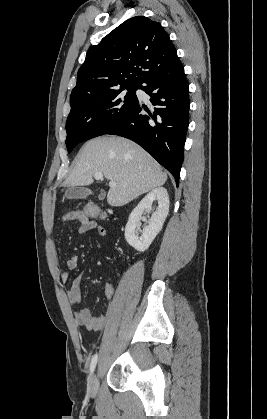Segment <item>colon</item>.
Returning <instances> with one entry per match:
<instances>
[{"label":"colon","mask_w":267,"mask_h":419,"mask_svg":"<svg viewBox=\"0 0 267 419\" xmlns=\"http://www.w3.org/2000/svg\"><path fill=\"white\" fill-rule=\"evenodd\" d=\"M80 212L88 219H103L106 217L105 211L94 203L86 204Z\"/></svg>","instance_id":"colon-1"}]
</instances>
